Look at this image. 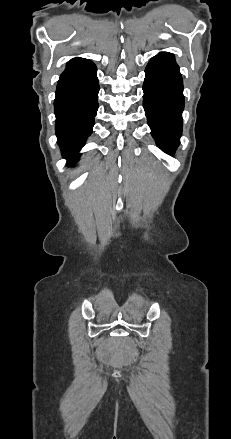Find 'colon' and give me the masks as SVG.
Masks as SVG:
<instances>
[{
  "label": "colon",
  "mask_w": 231,
  "mask_h": 439,
  "mask_svg": "<svg viewBox=\"0 0 231 439\" xmlns=\"http://www.w3.org/2000/svg\"><path fill=\"white\" fill-rule=\"evenodd\" d=\"M133 356L137 357V351L136 350L133 351Z\"/></svg>",
  "instance_id": "1"
}]
</instances>
